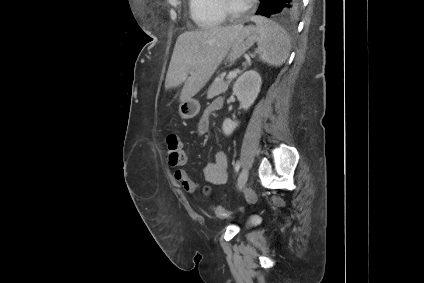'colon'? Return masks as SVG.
<instances>
[{
    "mask_svg": "<svg viewBox=\"0 0 424 283\" xmlns=\"http://www.w3.org/2000/svg\"><path fill=\"white\" fill-rule=\"evenodd\" d=\"M166 145H167V153L169 151H172V155H175L171 159V163L174 165V164H177L178 162H181L182 159L180 158L178 159V152L175 151L176 149H180L182 146V142L180 138L175 133H168L166 136ZM212 209L215 215L219 219H226L230 217V212L222 206H214Z\"/></svg>",
    "mask_w": 424,
    "mask_h": 283,
    "instance_id": "obj_1",
    "label": "colon"
}]
</instances>
